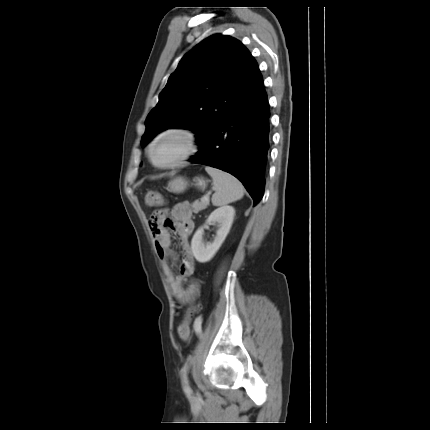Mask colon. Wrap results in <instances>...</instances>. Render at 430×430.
I'll return each instance as SVG.
<instances>
[{
    "label": "colon",
    "instance_id": "colon-1",
    "mask_svg": "<svg viewBox=\"0 0 430 430\" xmlns=\"http://www.w3.org/2000/svg\"><path fill=\"white\" fill-rule=\"evenodd\" d=\"M145 202L148 206L154 207V206H162L165 203V200L163 196L160 193L157 192H148L145 197ZM163 211V210H158ZM197 311V307L193 306L188 309L187 314L185 316V319L182 322V327L180 329L179 335L181 339L184 341H188L191 337V329H190V323L191 318ZM199 326H195V330H197Z\"/></svg>",
    "mask_w": 430,
    "mask_h": 430
}]
</instances>
